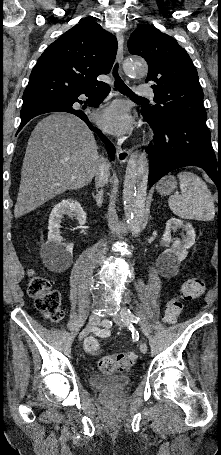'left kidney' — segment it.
Instances as JSON below:
<instances>
[{"mask_svg":"<svg viewBox=\"0 0 221 455\" xmlns=\"http://www.w3.org/2000/svg\"><path fill=\"white\" fill-rule=\"evenodd\" d=\"M179 228L186 231V235L180 239H173L171 232H176ZM195 230L191 224H184L177 218H171L166 222L163 234V242L167 249L158 257L159 262L167 269H176L184 260L190 247L195 243ZM170 243L172 246L170 247Z\"/></svg>","mask_w":221,"mask_h":455,"instance_id":"left-kidney-1","label":"left kidney"}]
</instances>
